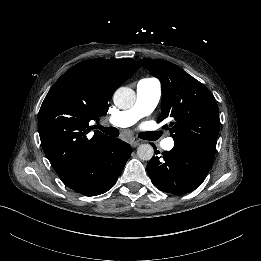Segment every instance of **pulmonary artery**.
Returning a JSON list of instances; mask_svg holds the SVG:
<instances>
[{"instance_id": "1", "label": "pulmonary artery", "mask_w": 261, "mask_h": 261, "mask_svg": "<svg viewBox=\"0 0 261 261\" xmlns=\"http://www.w3.org/2000/svg\"><path fill=\"white\" fill-rule=\"evenodd\" d=\"M136 90L134 106L128 111L119 112L109 117L111 124L117 127H127L154 111L161 99L162 87L160 82L154 79H141L137 83ZM161 144L164 149L169 150L174 147L175 143L172 138L167 137L162 140Z\"/></svg>"}]
</instances>
